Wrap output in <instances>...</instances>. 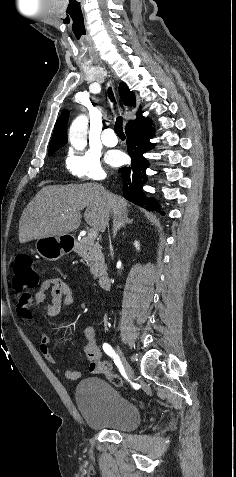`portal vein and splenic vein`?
Segmentation results:
<instances>
[{
    "label": "portal vein and splenic vein",
    "mask_w": 236,
    "mask_h": 477,
    "mask_svg": "<svg viewBox=\"0 0 236 477\" xmlns=\"http://www.w3.org/2000/svg\"><path fill=\"white\" fill-rule=\"evenodd\" d=\"M98 235V230H96L95 228H92L88 231V238L90 240H94Z\"/></svg>",
    "instance_id": "1"
}]
</instances>
